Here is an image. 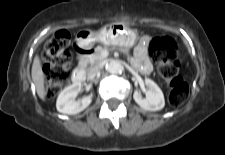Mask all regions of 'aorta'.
<instances>
[{
  "label": "aorta",
  "instance_id": "obj_1",
  "mask_svg": "<svg viewBox=\"0 0 225 155\" xmlns=\"http://www.w3.org/2000/svg\"><path fill=\"white\" fill-rule=\"evenodd\" d=\"M107 70L111 73V74H120L123 71V66L122 64L117 61V60H112L108 66H107Z\"/></svg>",
  "mask_w": 225,
  "mask_h": 155
}]
</instances>
